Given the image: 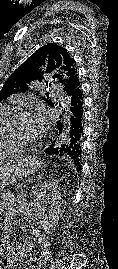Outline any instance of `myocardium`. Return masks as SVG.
I'll list each match as a JSON object with an SVG mask.
<instances>
[{
	"label": "myocardium",
	"instance_id": "myocardium-1",
	"mask_svg": "<svg viewBox=\"0 0 118 269\" xmlns=\"http://www.w3.org/2000/svg\"><path fill=\"white\" fill-rule=\"evenodd\" d=\"M25 114L26 112L24 110H16L9 115V117L6 119V121L3 124V137L6 139L8 143L12 145H16L20 148L25 147V146H30V147L35 146L34 142L18 138L14 134V126L16 122Z\"/></svg>",
	"mask_w": 118,
	"mask_h": 269
}]
</instances>
